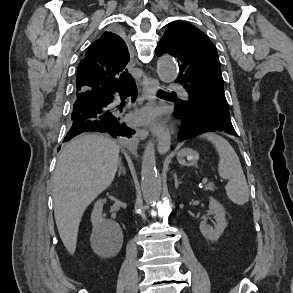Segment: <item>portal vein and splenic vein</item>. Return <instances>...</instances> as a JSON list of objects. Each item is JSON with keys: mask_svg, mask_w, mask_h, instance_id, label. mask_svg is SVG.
Returning a JSON list of instances; mask_svg holds the SVG:
<instances>
[{"mask_svg": "<svg viewBox=\"0 0 293 293\" xmlns=\"http://www.w3.org/2000/svg\"><path fill=\"white\" fill-rule=\"evenodd\" d=\"M206 182H207V178H204V179L202 180V183L205 184Z\"/></svg>", "mask_w": 293, "mask_h": 293, "instance_id": "portal-vein-and-splenic-vein-1", "label": "portal vein and splenic vein"}]
</instances>
